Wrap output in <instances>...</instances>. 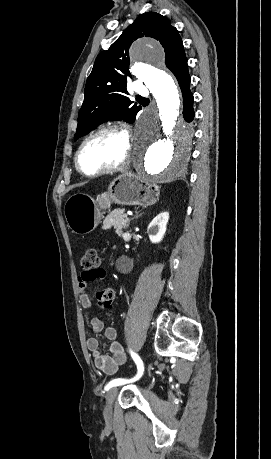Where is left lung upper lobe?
Listing matches in <instances>:
<instances>
[{
    "instance_id": "1",
    "label": "left lung upper lobe",
    "mask_w": 271,
    "mask_h": 459,
    "mask_svg": "<svg viewBox=\"0 0 271 459\" xmlns=\"http://www.w3.org/2000/svg\"><path fill=\"white\" fill-rule=\"evenodd\" d=\"M158 40L165 51V64L172 71L186 59L181 37L170 20L155 12L139 16L106 51L97 56L87 78L85 98L78 114L74 140L110 118L133 123L141 106L129 100L126 86L130 73L129 47L140 37Z\"/></svg>"
}]
</instances>
